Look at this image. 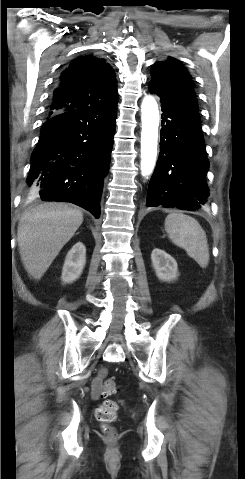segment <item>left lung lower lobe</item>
<instances>
[{"instance_id": "obj_1", "label": "left lung lower lobe", "mask_w": 245, "mask_h": 479, "mask_svg": "<svg viewBox=\"0 0 245 479\" xmlns=\"http://www.w3.org/2000/svg\"><path fill=\"white\" fill-rule=\"evenodd\" d=\"M149 91L160 97L163 113L160 154L146 206L200 209L209 195L205 180L209 161L193 84L165 86L151 80Z\"/></svg>"}]
</instances>
